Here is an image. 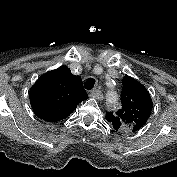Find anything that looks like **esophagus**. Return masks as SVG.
Returning <instances> with one entry per match:
<instances>
[{"label":"esophagus","instance_id":"1","mask_svg":"<svg viewBox=\"0 0 177 177\" xmlns=\"http://www.w3.org/2000/svg\"><path fill=\"white\" fill-rule=\"evenodd\" d=\"M90 96L97 100L103 99V93L100 90L94 89L91 91Z\"/></svg>","mask_w":177,"mask_h":177}]
</instances>
